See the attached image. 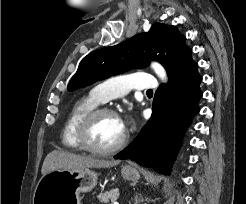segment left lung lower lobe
Masks as SVG:
<instances>
[{"mask_svg":"<svg viewBox=\"0 0 246 204\" xmlns=\"http://www.w3.org/2000/svg\"><path fill=\"white\" fill-rule=\"evenodd\" d=\"M197 66L188 48L168 73V85L157 89L150 120L134 142L114 156L115 159H131L144 167L169 174L183 132L199 111L202 78Z\"/></svg>","mask_w":246,"mask_h":204,"instance_id":"0a47b994","label":"left lung lower lobe"}]
</instances>
